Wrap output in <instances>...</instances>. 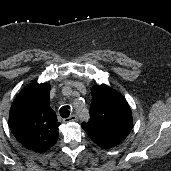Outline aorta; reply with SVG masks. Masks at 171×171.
Instances as JSON below:
<instances>
[{
    "label": "aorta",
    "instance_id": "aorta-1",
    "mask_svg": "<svg viewBox=\"0 0 171 171\" xmlns=\"http://www.w3.org/2000/svg\"><path fill=\"white\" fill-rule=\"evenodd\" d=\"M81 114V112H79ZM86 113H82V117L85 118L86 117Z\"/></svg>",
    "mask_w": 171,
    "mask_h": 171
}]
</instances>
